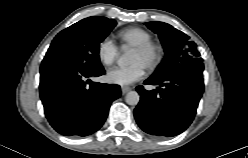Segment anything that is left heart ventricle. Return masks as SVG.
Segmentation results:
<instances>
[{
	"instance_id": "b2bd125f",
	"label": "left heart ventricle",
	"mask_w": 248,
	"mask_h": 158,
	"mask_svg": "<svg viewBox=\"0 0 248 158\" xmlns=\"http://www.w3.org/2000/svg\"><path fill=\"white\" fill-rule=\"evenodd\" d=\"M136 62H140L146 66L148 62V57L145 54L140 53L137 50H134L131 58V63H136Z\"/></svg>"
}]
</instances>
